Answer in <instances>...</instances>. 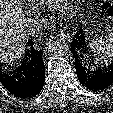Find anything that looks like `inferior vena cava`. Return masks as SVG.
I'll use <instances>...</instances> for the list:
<instances>
[{
  "label": "inferior vena cava",
  "instance_id": "602c4592",
  "mask_svg": "<svg viewBox=\"0 0 113 113\" xmlns=\"http://www.w3.org/2000/svg\"><path fill=\"white\" fill-rule=\"evenodd\" d=\"M46 27V22L43 18H39L38 16L33 17L29 20L28 24V34L31 36L40 35L44 28Z\"/></svg>",
  "mask_w": 113,
  "mask_h": 113
}]
</instances>
